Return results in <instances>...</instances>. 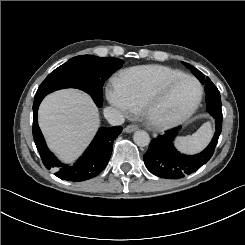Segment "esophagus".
Instances as JSON below:
<instances>
[{
	"label": "esophagus",
	"mask_w": 245,
	"mask_h": 245,
	"mask_svg": "<svg viewBox=\"0 0 245 245\" xmlns=\"http://www.w3.org/2000/svg\"><path fill=\"white\" fill-rule=\"evenodd\" d=\"M138 129V126L137 125H128L126 128H125V132L127 133H132L134 131H136Z\"/></svg>",
	"instance_id": "1"
}]
</instances>
